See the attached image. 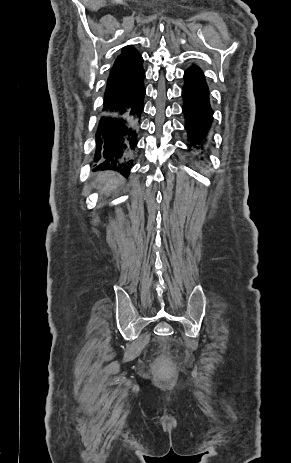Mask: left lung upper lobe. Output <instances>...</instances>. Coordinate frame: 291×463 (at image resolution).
Wrapping results in <instances>:
<instances>
[{"instance_id":"left-lung-upper-lobe-1","label":"left lung upper lobe","mask_w":291,"mask_h":463,"mask_svg":"<svg viewBox=\"0 0 291 463\" xmlns=\"http://www.w3.org/2000/svg\"><path fill=\"white\" fill-rule=\"evenodd\" d=\"M192 67L199 68V67H197V66H192Z\"/></svg>"}]
</instances>
